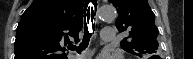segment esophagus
Returning <instances> with one entry per match:
<instances>
[{
    "label": "esophagus",
    "instance_id": "esophagus-1",
    "mask_svg": "<svg viewBox=\"0 0 193 59\" xmlns=\"http://www.w3.org/2000/svg\"><path fill=\"white\" fill-rule=\"evenodd\" d=\"M93 3H96L97 7H98V1H91L90 2V6H93Z\"/></svg>",
    "mask_w": 193,
    "mask_h": 59
}]
</instances>
